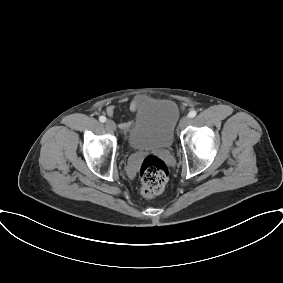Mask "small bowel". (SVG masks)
I'll use <instances>...</instances> for the list:
<instances>
[{"mask_svg":"<svg viewBox=\"0 0 283 283\" xmlns=\"http://www.w3.org/2000/svg\"><path fill=\"white\" fill-rule=\"evenodd\" d=\"M143 102H144V99H141V98L132 99L129 102V110L132 111V112L136 111ZM106 113L109 117H113L114 114H115V106L109 105L106 108ZM132 126H133L132 121H123V122L119 123V128L122 132L129 131L132 128Z\"/></svg>","mask_w":283,"mask_h":283,"instance_id":"1","label":"small bowel"}]
</instances>
